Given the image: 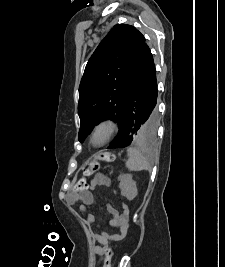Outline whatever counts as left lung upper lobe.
Here are the masks:
<instances>
[{"label": "left lung upper lobe", "mask_w": 225, "mask_h": 267, "mask_svg": "<svg viewBox=\"0 0 225 267\" xmlns=\"http://www.w3.org/2000/svg\"><path fill=\"white\" fill-rule=\"evenodd\" d=\"M144 46L145 38L135 27L117 24L90 57L79 86L80 142L104 120L121 124L131 80ZM145 128L146 124L139 125L134 141L153 139L156 130L145 133Z\"/></svg>", "instance_id": "5c2ea615"}]
</instances>
